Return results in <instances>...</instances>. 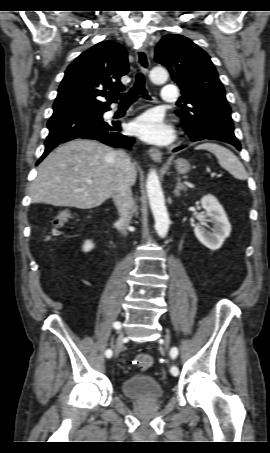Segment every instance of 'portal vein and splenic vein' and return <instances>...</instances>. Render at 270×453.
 Masks as SVG:
<instances>
[{
    "label": "portal vein and splenic vein",
    "instance_id": "portal-vein-and-splenic-vein-1",
    "mask_svg": "<svg viewBox=\"0 0 270 453\" xmlns=\"http://www.w3.org/2000/svg\"><path fill=\"white\" fill-rule=\"evenodd\" d=\"M215 175H216L215 172H212V173H211V176H212V177H214ZM218 176H220V175H218ZM87 183H88V184H91V183H92V180L88 179V180H87Z\"/></svg>",
    "mask_w": 270,
    "mask_h": 453
}]
</instances>
